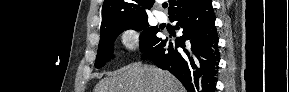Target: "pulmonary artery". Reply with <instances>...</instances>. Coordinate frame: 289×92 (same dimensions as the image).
Here are the masks:
<instances>
[{
    "label": "pulmonary artery",
    "instance_id": "obj_1",
    "mask_svg": "<svg viewBox=\"0 0 289 92\" xmlns=\"http://www.w3.org/2000/svg\"><path fill=\"white\" fill-rule=\"evenodd\" d=\"M155 16H156V19L158 20V22H160V23L166 22V20H167L166 15L162 12H156Z\"/></svg>",
    "mask_w": 289,
    "mask_h": 92
}]
</instances>
